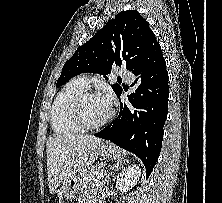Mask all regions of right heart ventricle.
Wrapping results in <instances>:
<instances>
[{
  "label": "right heart ventricle",
  "mask_w": 222,
  "mask_h": 203,
  "mask_svg": "<svg viewBox=\"0 0 222 203\" xmlns=\"http://www.w3.org/2000/svg\"><path fill=\"white\" fill-rule=\"evenodd\" d=\"M85 90L86 88L73 80L66 84L56 96L51 111V125L57 135L68 136L82 132L74 120L72 108L77 97Z\"/></svg>",
  "instance_id": "obj_1"
}]
</instances>
